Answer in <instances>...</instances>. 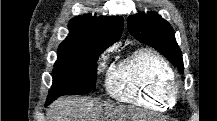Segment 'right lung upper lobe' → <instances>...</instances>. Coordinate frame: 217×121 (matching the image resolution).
Instances as JSON below:
<instances>
[{
    "label": "right lung upper lobe",
    "mask_w": 217,
    "mask_h": 121,
    "mask_svg": "<svg viewBox=\"0 0 217 121\" xmlns=\"http://www.w3.org/2000/svg\"><path fill=\"white\" fill-rule=\"evenodd\" d=\"M68 28L69 35L60 46L94 43L105 50L119 40L123 30V18L88 14L71 19Z\"/></svg>",
    "instance_id": "obj_1"
}]
</instances>
